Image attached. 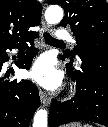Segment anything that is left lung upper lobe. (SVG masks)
<instances>
[{
	"instance_id": "obj_1",
	"label": "left lung upper lobe",
	"mask_w": 108,
	"mask_h": 127,
	"mask_svg": "<svg viewBox=\"0 0 108 127\" xmlns=\"http://www.w3.org/2000/svg\"><path fill=\"white\" fill-rule=\"evenodd\" d=\"M63 7L65 16L60 25H70L77 40L75 52L95 53L108 48V4L105 0H48ZM73 61L74 51L65 53Z\"/></svg>"
}]
</instances>
